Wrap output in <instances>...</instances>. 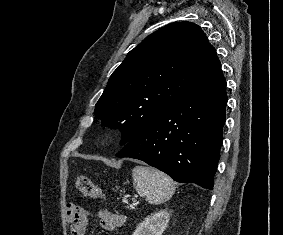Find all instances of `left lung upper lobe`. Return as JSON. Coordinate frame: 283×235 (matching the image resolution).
<instances>
[{
  "instance_id": "5c2ea615",
  "label": "left lung upper lobe",
  "mask_w": 283,
  "mask_h": 235,
  "mask_svg": "<svg viewBox=\"0 0 283 235\" xmlns=\"http://www.w3.org/2000/svg\"><path fill=\"white\" fill-rule=\"evenodd\" d=\"M221 69L201 28L174 22L131 50L95 106L102 124L119 128L127 144L183 95Z\"/></svg>"
}]
</instances>
